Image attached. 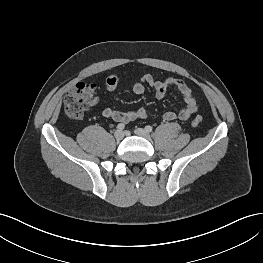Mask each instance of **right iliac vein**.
Here are the masks:
<instances>
[{
	"label": "right iliac vein",
	"mask_w": 263,
	"mask_h": 263,
	"mask_svg": "<svg viewBox=\"0 0 263 263\" xmlns=\"http://www.w3.org/2000/svg\"><path fill=\"white\" fill-rule=\"evenodd\" d=\"M114 137L116 138V140H122L124 138V132L121 131V130H117L115 133H114Z\"/></svg>",
	"instance_id": "obj_1"
}]
</instances>
